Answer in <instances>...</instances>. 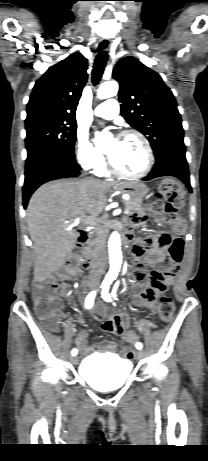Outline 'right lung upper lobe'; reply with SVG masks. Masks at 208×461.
Instances as JSON below:
<instances>
[{"label": "right lung upper lobe", "instance_id": "right-lung-upper-lobe-1", "mask_svg": "<svg viewBox=\"0 0 208 461\" xmlns=\"http://www.w3.org/2000/svg\"><path fill=\"white\" fill-rule=\"evenodd\" d=\"M87 59L69 55L38 79L27 104V117H62L76 120V108L87 81Z\"/></svg>", "mask_w": 208, "mask_h": 461}]
</instances>
